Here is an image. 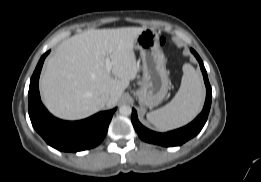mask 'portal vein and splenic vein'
<instances>
[{
  "instance_id": "1",
  "label": "portal vein and splenic vein",
  "mask_w": 261,
  "mask_h": 182,
  "mask_svg": "<svg viewBox=\"0 0 261 182\" xmlns=\"http://www.w3.org/2000/svg\"><path fill=\"white\" fill-rule=\"evenodd\" d=\"M105 65H106V70L110 72L112 68V62L108 58L106 59Z\"/></svg>"
}]
</instances>
